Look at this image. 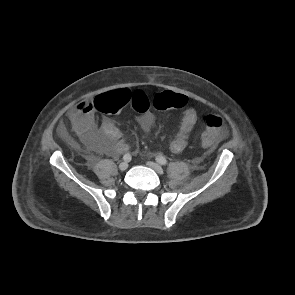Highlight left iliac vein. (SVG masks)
I'll use <instances>...</instances> for the list:
<instances>
[{"instance_id": "obj_1", "label": "left iliac vein", "mask_w": 295, "mask_h": 295, "mask_svg": "<svg viewBox=\"0 0 295 295\" xmlns=\"http://www.w3.org/2000/svg\"><path fill=\"white\" fill-rule=\"evenodd\" d=\"M147 165L150 168H152L154 171H156L158 174H163V172H164L163 168L158 163L148 161Z\"/></svg>"}]
</instances>
